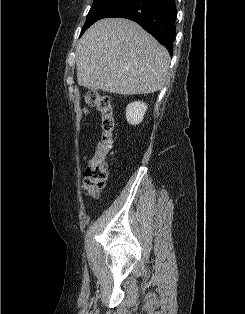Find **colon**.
Returning <instances> with one entry per match:
<instances>
[{"label":"colon","instance_id":"5ec220e1","mask_svg":"<svg viewBox=\"0 0 245 314\" xmlns=\"http://www.w3.org/2000/svg\"><path fill=\"white\" fill-rule=\"evenodd\" d=\"M84 101L86 107L97 109L101 116V133L94 156L87 160L83 185L86 194L95 197L106 183L107 160L112 154L116 123L110 96L91 90L85 94Z\"/></svg>","mask_w":245,"mask_h":314}]
</instances>
